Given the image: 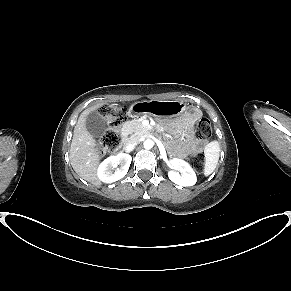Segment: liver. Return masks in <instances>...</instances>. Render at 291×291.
<instances>
[{"instance_id":"1","label":"liver","mask_w":291,"mask_h":291,"mask_svg":"<svg viewBox=\"0 0 291 291\" xmlns=\"http://www.w3.org/2000/svg\"><path fill=\"white\" fill-rule=\"evenodd\" d=\"M102 104L96 105L99 108ZM91 109L81 113L78 122L74 128L73 138L70 147V162L75 172L87 182L99 185L97 178V168L100 162L96 141L88 132L85 121L90 114Z\"/></svg>"}]
</instances>
